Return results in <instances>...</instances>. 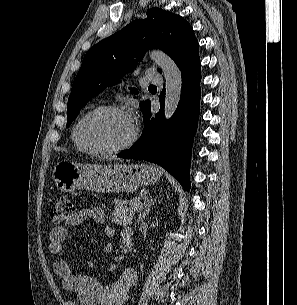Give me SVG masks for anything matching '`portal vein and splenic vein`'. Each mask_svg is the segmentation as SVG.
<instances>
[{"label": "portal vein and splenic vein", "instance_id": "1", "mask_svg": "<svg viewBox=\"0 0 297 305\" xmlns=\"http://www.w3.org/2000/svg\"><path fill=\"white\" fill-rule=\"evenodd\" d=\"M135 210H139L141 208V203L140 202H136L134 204Z\"/></svg>", "mask_w": 297, "mask_h": 305}]
</instances>
